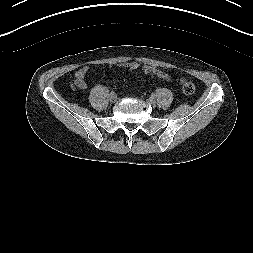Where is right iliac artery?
<instances>
[{
  "label": "right iliac artery",
  "mask_w": 253,
  "mask_h": 253,
  "mask_svg": "<svg viewBox=\"0 0 253 253\" xmlns=\"http://www.w3.org/2000/svg\"><path fill=\"white\" fill-rule=\"evenodd\" d=\"M110 95H111V96L115 95V92H114V91H111V92H110Z\"/></svg>",
  "instance_id": "obj_1"
}]
</instances>
